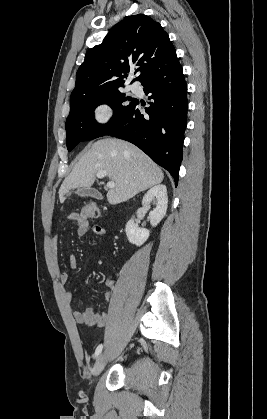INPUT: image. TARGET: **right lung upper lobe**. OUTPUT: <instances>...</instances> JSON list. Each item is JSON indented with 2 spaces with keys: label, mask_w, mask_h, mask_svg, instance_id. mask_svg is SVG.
<instances>
[{
  "label": "right lung upper lobe",
  "mask_w": 267,
  "mask_h": 419,
  "mask_svg": "<svg viewBox=\"0 0 267 419\" xmlns=\"http://www.w3.org/2000/svg\"><path fill=\"white\" fill-rule=\"evenodd\" d=\"M178 61L161 25L149 16H128L117 23L102 44L89 49L76 74L70 103L93 94L119 90L135 65L142 81L150 73Z\"/></svg>",
  "instance_id": "right-lung-upper-lobe-1"
}]
</instances>
